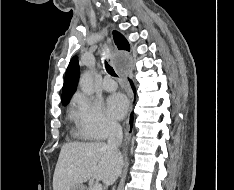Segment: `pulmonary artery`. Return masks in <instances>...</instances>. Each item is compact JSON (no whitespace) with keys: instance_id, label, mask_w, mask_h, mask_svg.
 I'll use <instances>...</instances> for the list:
<instances>
[{"instance_id":"1","label":"pulmonary artery","mask_w":234,"mask_h":190,"mask_svg":"<svg viewBox=\"0 0 234 190\" xmlns=\"http://www.w3.org/2000/svg\"><path fill=\"white\" fill-rule=\"evenodd\" d=\"M103 88L106 91H114L117 88V83L111 78V76L106 75L103 80Z\"/></svg>"}]
</instances>
